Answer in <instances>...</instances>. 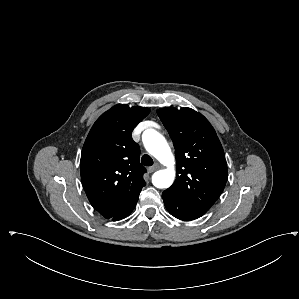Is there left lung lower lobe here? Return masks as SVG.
Listing matches in <instances>:
<instances>
[{"mask_svg":"<svg viewBox=\"0 0 299 299\" xmlns=\"http://www.w3.org/2000/svg\"><path fill=\"white\" fill-rule=\"evenodd\" d=\"M162 197L168 212L178 219L191 221L206 213L185 203L169 191L165 190Z\"/></svg>","mask_w":299,"mask_h":299,"instance_id":"1","label":"left lung lower lobe"}]
</instances>
